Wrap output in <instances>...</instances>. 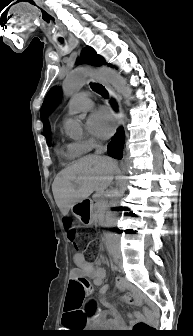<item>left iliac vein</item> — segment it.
<instances>
[{"label":"left iliac vein","mask_w":193,"mask_h":336,"mask_svg":"<svg viewBox=\"0 0 193 336\" xmlns=\"http://www.w3.org/2000/svg\"><path fill=\"white\" fill-rule=\"evenodd\" d=\"M120 259H121V257H120ZM119 267H120V269H122V262L119 263Z\"/></svg>","instance_id":"obj_1"}]
</instances>
